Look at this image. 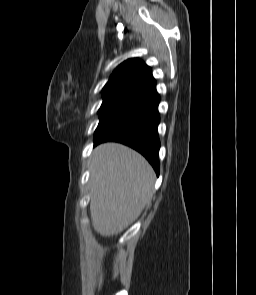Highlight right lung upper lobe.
I'll list each match as a JSON object with an SVG mask.
<instances>
[{
	"label": "right lung upper lobe",
	"instance_id": "1",
	"mask_svg": "<svg viewBox=\"0 0 256 295\" xmlns=\"http://www.w3.org/2000/svg\"><path fill=\"white\" fill-rule=\"evenodd\" d=\"M154 85L150 67L137 58L128 59L116 68L104 86L103 102L134 99Z\"/></svg>",
	"mask_w": 256,
	"mask_h": 295
}]
</instances>
